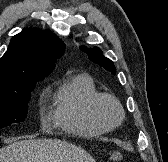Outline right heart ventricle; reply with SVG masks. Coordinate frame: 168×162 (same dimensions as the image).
Instances as JSON below:
<instances>
[{"label":"right heart ventricle","instance_id":"obj_1","mask_svg":"<svg viewBox=\"0 0 168 162\" xmlns=\"http://www.w3.org/2000/svg\"><path fill=\"white\" fill-rule=\"evenodd\" d=\"M98 93L93 78L85 73L67 75L54 98L52 119L68 133L86 137L108 131L90 113V103Z\"/></svg>","mask_w":168,"mask_h":162}]
</instances>
